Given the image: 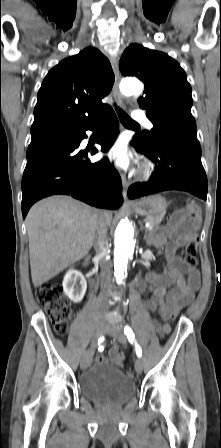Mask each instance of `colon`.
<instances>
[{
	"mask_svg": "<svg viewBox=\"0 0 221 448\" xmlns=\"http://www.w3.org/2000/svg\"><path fill=\"white\" fill-rule=\"evenodd\" d=\"M190 209L191 211L187 214L186 221L192 228H196L199 224L200 214L193 203L190 204ZM182 222L181 218L173 220L175 224H181ZM184 261L191 268H195L198 265L197 245L194 241L187 243ZM35 295L37 301L47 310L56 333L60 335L65 334L71 317V308L69 302L62 295L61 287L58 284L44 282L38 286ZM99 360L101 361L102 358Z\"/></svg>",
	"mask_w": 221,
	"mask_h": 448,
	"instance_id": "obj_1",
	"label": "colon"
}]
</instances>
